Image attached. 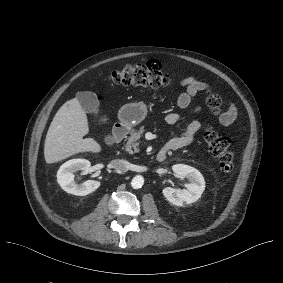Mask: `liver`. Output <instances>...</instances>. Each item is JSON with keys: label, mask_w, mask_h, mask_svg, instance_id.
<instances>
[{"label": "liver", "mask_w": 283, "mask_h": 283, "mask_svg": "<svg viewBox=\"0 0 283 283\" xmlns=\"http://www.w3.org/2000/svg\"><path fill=\"white\" fill-rule=\"evenodd\" d=\"M90 131L86 112L76 96L67 101L56 113L48 130L44 158L47 165L58 163L80 153L100 154L103 147Z\"/></svg>", "instance_id": "liver-1"}]
</instances>
